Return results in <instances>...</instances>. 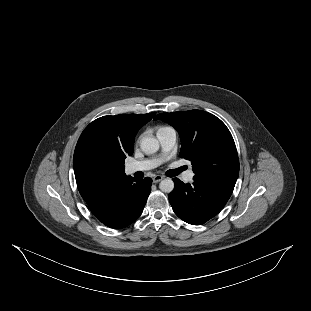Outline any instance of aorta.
I'll list each match as a JSON object with an SVG mask.
<instances>
[{
  "label": "aorta",
  "mask_w": 311,
  "mask_h": 311,
  "mask_svg": "<svg viewBox=\"0 0 311 311\" xmlns=\"http://www.w3.org/2000/svg\"><path fill=\"white\" fill-rule=\"evenodd\" d=\"M140 148L145 154H153L159 150V141L154 137H144L141 140ZM161 191L170 193L174 189V182L171 179H164L160 182Z\"/></svg>",
  "instance_id": "obj_1"
}]
</instances>
